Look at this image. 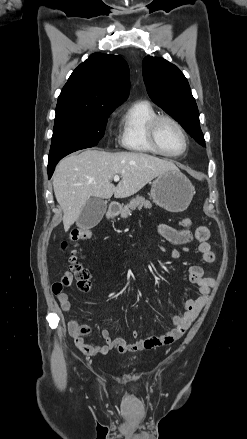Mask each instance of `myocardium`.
I'll use <instances>...</instances> for the list:
<instances>
[{"mask_svg":"<svg viewBox=\"0 0 247 439\" xmlns=\"http://www.w3.org/2000/svg\"><path fill=\"white\" fill-rule=\"evenodd\" d=\"M163 121H168L170 123H172L180 132L183 141H184V146L183 149L178 152V153H168L166 151H164L161 146L159 145L158 139H157V130L158 127L160 125L161 122ZM148 139L150 144L152 145V147L157 151V153L169 157V158H178L180 156H182L188 149V136L186 131L184 130L183 126L173 117L169 116V115H158L156 116L150 123L148 126Z\"/></svg>","mask_w":247,"mask_h":439,"instance_id":"myocardium-1","label":"myocardium"}]
</instances>
